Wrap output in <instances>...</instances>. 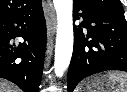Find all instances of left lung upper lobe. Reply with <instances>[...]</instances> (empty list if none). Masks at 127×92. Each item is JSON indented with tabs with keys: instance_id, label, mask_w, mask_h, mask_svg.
Returning <instances> with one entry per match:
<instances>
[{
	"instance_id": "1",
	"label": "left lung upper lobe",
	"mask_w": 127,
	"mask_h": 92,
	"mask_svg": "<svg viewBox=\"0 0 127 92\" xmlns=\"http://www.w3.org/2000/svg\"><path fill=\"white\" fill-rule=\"evenodd\" d=\"M74 4H79L94 11L124 16L120 0H74Z\"/></svg>"
}]
</instances>
